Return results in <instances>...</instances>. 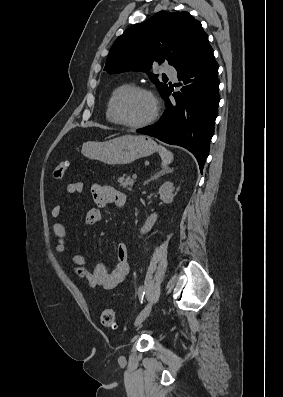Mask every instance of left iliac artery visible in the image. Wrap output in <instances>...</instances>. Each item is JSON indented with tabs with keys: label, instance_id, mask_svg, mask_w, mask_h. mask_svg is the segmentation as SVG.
<instances>
[{
	"label": "left iliac artery",
	"instance_id": "44dca946",
	"mask_svg": "<svg viewBox=\"0 0 283 397\" xmlns=\"http://www.w3.org/2000/svg\"><path fill=\"white\" fill-rule=\"evenodd\" d=\"M138 295H139L140 302L142 303L143 302V298H144V287L143 286L139 287Z\"/></svg>",
	"mask_w": 283,
	"mask_h": 397
}]
</instances>
